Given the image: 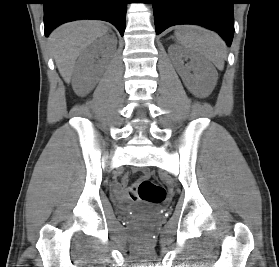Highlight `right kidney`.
Wrapping results in <instances>:
<instances>
[{
  "label": "right kidney",
  "instance_id": "1",
  "mask_svg": "<svg viewBox=\"0 0 279 267\" xmlns=\"http://www.w3.org/2000/svg\"><path fill=\"white\" fill-rule=\"evenodd\" d=\"M112 42L113 44L117 42V39L114 36L112 37ZM102 43H106V41H100L88 47L84 51V54L79 61L76 72V81L78 83L76 92L79 95H85L90 90V75L97 70V66L94 64V62L95 58L98 57V52L102 46Z\"/></svg>",
  "mask_w": 279,
  "mask_h": 267
}]
</instances>
